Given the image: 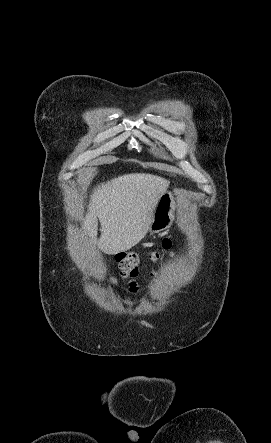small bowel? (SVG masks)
<instances>
[{
	"instance_id": "c3829d8e",
	"label": "small bowel",
	"mask_w": 271,
	"mask_h": 443,
	"mask_svg": "<svg viewBox=\"0 0 271 443\" xmlns=\"http://www.w3.org/2000/svg\"><path fill=\"white\" fill-rule=\"evenodd\" d=\"M111 283H112L113 285H115V286L118 285V282H117V280H116L115 278H112V279H111Z\"/></svg>"
}]
</instances>
